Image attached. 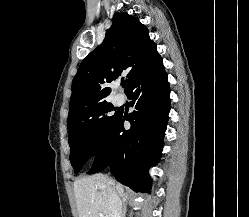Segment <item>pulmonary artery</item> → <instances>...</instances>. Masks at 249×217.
Instances as JSON below:
<instances>
[{
    "mask_svg": "<svg viewBox=\"0 0 249 217\" xmlns=\"http://www.w3.org/2000/svg\"><path fill=\"white\" fill-rule=\"evenodd\" d=\"M116 103H117L118 105H121V104H122V100L118 99V100L116 101Z\"/></svg>",
    "mask_w": 249,
    "mask_h": 217,
    "instance_id": "e3ab8cb5",
    "label": "pulmonary artery"
}]
</instances>
